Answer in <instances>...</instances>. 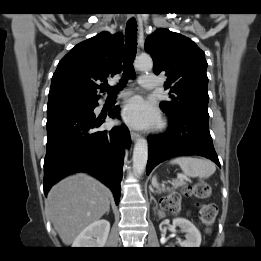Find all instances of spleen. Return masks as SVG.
I'll return each instance as SVG.
<instances>
[{
  "mask_svg": "<svg viewBox=\"0 0 261 261\" xmlns=\"http://www.w3.org/2000/svg\"><path fill=\"white\" fill-rule=\"evenodd\" d=\"M170 164H177L183 171V176L186 177H198L200 179L208 178L216 171L215 164L207 159H201L196 157L184 156L175 158L170 161ZM152 185L159 188L156 176L152 178ZM178 186V185H176ZM169 191H171L169 189Z\"/></svg>",
  "mask_w": 261,
  "mask_h": 261,
  "instance_id": "1",
  "label": "spleen"
}]
</instances>
